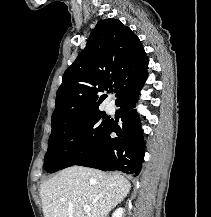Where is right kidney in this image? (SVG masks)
<instances>
[{"instance_id": "right-kidney-1", "label": "right kidney", "mask_w": 211, "mask_h": 217, "mask_svg": "<svg viewBox=\"0 0 211 217\" xmlns=\"http://www.w3.org/2000/svg\"><path fill=\"white\" fill-rule=\"evenodd\" d=\"M123 208H118L112 215V217H122Z\"/></svg>"}]
</instances>
